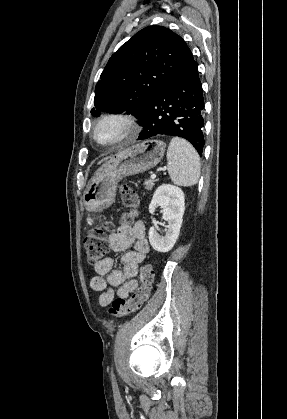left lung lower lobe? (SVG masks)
<instances>
[{"label":"left lung lower lobe","mask_w":287,"mask_h":419,"mask_svg":"<svg viewBox=\"0 0 287 419\" xmlns=\"http://www.w3.org/2000/svg\"><path fill=\"white\" fill-rule=\"evenodd\" d=\"M203 108L198 65L194 62L152 97L141 122L143 130L138 139L159 135L181 137L201 155L204 146Z\"/></svg>","instance_id":"0a47b994"}]
</instances>
